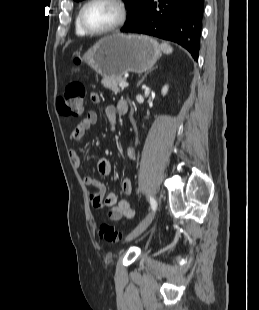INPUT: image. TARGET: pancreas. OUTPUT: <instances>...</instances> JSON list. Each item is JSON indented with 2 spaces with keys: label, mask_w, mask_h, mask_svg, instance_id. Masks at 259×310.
Returning a JSON list of instances; mask_svg holds the SVG:
<instances>
[{
  "label": "pancreas",
  "mask_w": 259,
  "mask_h": 310,
  "mask_svg": "<svg viewBox=\"0 0 259 310\" xmlns=\"http://www.w3.org/2000/svg\"><path fill=\"white\" fill-rule=\"evenodd\" d=\"M124 81H125V78L123 77H116V78L104 77L101 83L103 84L105 88L110 89L112 92L116 94L120 92V89L118 88V84Z\"/></svg>",
  "instance_id": "obj_1"
}]
</instances>
